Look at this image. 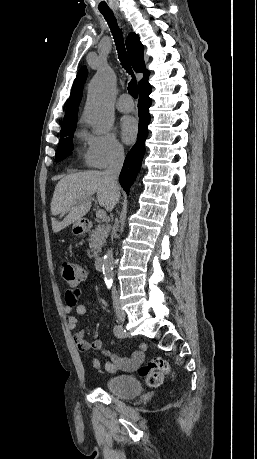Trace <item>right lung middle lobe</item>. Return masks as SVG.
I'll list each match as a JSON object with an SVG mask.
<instances>
[{
    "label": "right lung middle lobe",
    "instance_id": "obj_1",
    "mask_svg": "<svg viewBox=\"0 0 257 459\" xmlns=\"http://www.w3.org/2000/svg\"><path fill=\"white\" fill-rule=\"evenodd\" d=\"M76 129V126L67 129L63 132H61V138L59 141L58 145V150L56 153V159L62 160L64 159L67 155H69L73 149V133Z\"/></svg>",
    "mask_w": 257,
    "mask_h": 459
}]
</instances>
